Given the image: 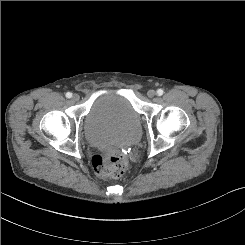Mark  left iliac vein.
Wrapping results in <instances>:
<instances>
[{
	"label": "left iliac vein",
	"instance_id": "left-iliac-vein-1",
	"mask_svg": "<svg viewBox=\"0 0 245 245\" xmlns=\"http://www.w3.org/2000/svg\"><path fill=\"white\" fill-rule=\"evenodd\" d=\"M155 95H156V91H155V90H149V91L147 92V96H148L149 98H153Z\"/></svg>",
	"mask_w": 245,
	"mask_h": 245
}]
</instances>
